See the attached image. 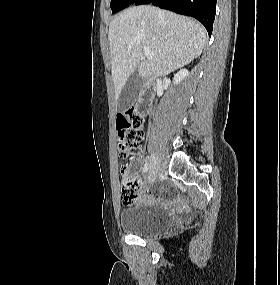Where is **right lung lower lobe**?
I'll return each mask as SVG.
<instances>
[{
    "label": "right lung lower lobe",
    "mask_w": 280,
    "mask_h": 285,
    "mask_svg": "<svg viewBox=\"0 0 280 285\" xmlns=\"http://www.w3.org/2000/svg\"><path fill=\"white\" fill-rule=\"evenodd\" d=\"M152 3L155 6L192 16L199 20L211 35L216 13V0H137L136 5Z\"/></svg>",
    "instance_id": "obj_1"
}]
</instances>
